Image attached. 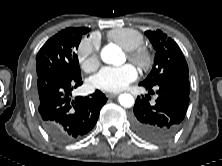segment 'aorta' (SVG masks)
Returning <instances> with one entry per match:
<instances>
[{
    "label": "aorta",
    "mask_w": 222,
    "mask_h": 166,
    "mask_svg": "<svg viewBox=\"0 0 222 166\" xmlns=\"http://www.w3.org/2000/svg\"><path fill=\"white\" fill-rule=\"evenodd\" d=\"M101 59L107 64L121 65L124 61V55L121 49L115 45H106L101 51ZM119 103L125 108H130L134 104V98L131 94L119 95Z\"/></svg>",
    "instance_id": "762f6f07"
}]
</instances>
